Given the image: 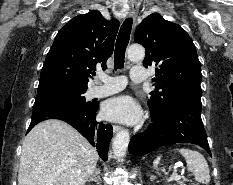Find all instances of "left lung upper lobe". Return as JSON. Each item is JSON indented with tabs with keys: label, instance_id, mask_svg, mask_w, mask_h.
<instances>
[{
	"label": "left lung upper lobe",
	"instance_id": "left-lung-upper-lobe-1",
	"mask_svg": "<svg viewBox=\"0 0 233 185\" xmlns=\"http://www.w3.org/2000/svg\"><path fill=\"white\" fill-rule=\"evenodd\" d=\"M134 41L145 47L144 67L156 66L148 106L159 117L179 98L201 95V65L195 45L178 24L152 13L137 27Z\"/></svg>",
	"mask_w": 233,
	"mask_h": 185
}]
</instances>
